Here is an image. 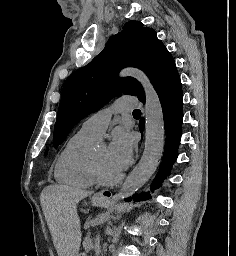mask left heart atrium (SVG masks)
<instances>
[{"instance_id":"1","label":"left heart atrium","mask_w":236,"mask_h":256,"mask_svg":"<svg viewBox=\"0 0 236 256\" xmlns=\"http://www.w3.org/2000/svg\"><path fill=\"white\" fill-rule=\"evenodd\" d=\"M133 149L132 137L117 128L112 132L111 141L107 150V160L111 169L122 171L130 161Z\"/></svg>"}]
</instances>
